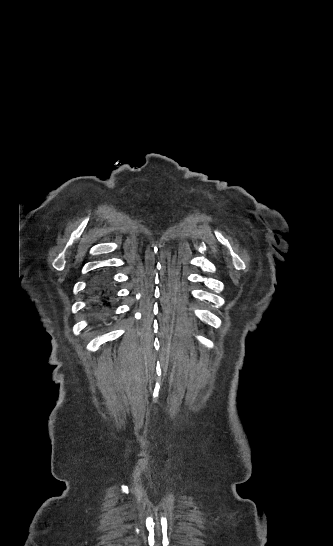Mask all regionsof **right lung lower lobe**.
<instances>
[{"label":"right lung lower lobe","instance_id":"1","mask_svg":"<svg viewBox=\"0 0 333 546\" xmlns=\"http://www.w3.org/2000/svg\"><path fill=\"white\" fill-rule=\"evenodd\" d=\"M89 302L94 324H105L110 318L109 312L113 305L111 282L106 276L100 275L91 283Z\"/></svg>","mask_w":333,"mask_h":546}]
</instances>
